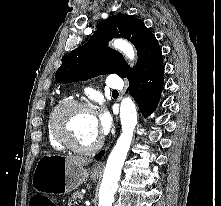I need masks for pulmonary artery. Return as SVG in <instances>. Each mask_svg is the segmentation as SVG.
Here are the masks:
<instances>
[{"mask_svg":"<svg viewBox=\"0 0 221 206\" xmlns=\"http://www.w3.org/2000/svg\"><path fill=\"white\" fill-rule=\"evenodd\" d=\"M106 86L114 90L123 89V80L118 75H109L106 78Z\"/></svg>","mask_w":221,"mask_h":206,"instance_id":"e3ab8cb5","label":"pulmonary artery"}]
</instances>
